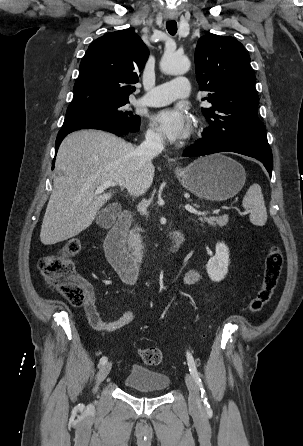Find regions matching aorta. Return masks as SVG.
I'll return each mask as SVG.
<instances>
[{
	"label": "aorta",
	"mask_w": 303,
	"mask_h": 446,
	"mask_svg": "<svg viewBox=\"0 0 303 446\" xmlns=\"http://www.w3.org/2000/svg\"><path fill=\"white\" fill-rule=\"evenodd\" d=\"M190 67L189 60L184 56L164 53L160 62V69L163 73L171 75L185 74Z\"/></svg>",
	"instance_id": "1"
}]
</instances>
